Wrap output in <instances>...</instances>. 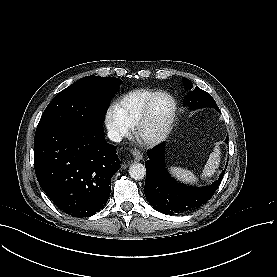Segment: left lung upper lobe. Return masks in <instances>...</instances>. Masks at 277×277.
Wrapping results in <instances>:
<instances>
[{"instance_id": "obj_1", "label": "left lung upper lobe", "mask_w": 277, "mask_h": 277, "mask_svg": "<svg viewBox=\"0 0 277 277\" xmlns=\"http://www.w3.org/2000/svg\"><path fill=\"white\" fill-rule=\"evenodd\" d=\"M183 84L185 89L189 91L187 93L184 106H188L191 109L211 107L220 111L215 100L209 93L203 91L197 86L193 89L191 81L185 77H183Z\"/></svg>"}]
</instances>
